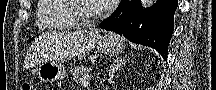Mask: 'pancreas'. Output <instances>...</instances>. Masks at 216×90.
<instances>
[{"label": "pancreas", "mask_w": 216, "mask_h": 90, "mask_svg": "<svg viewBox=\"0 0 216 90\" xmlns=\"http://www.w3.org/2000/svg\"><path fill=\"white\" fill-rule=\"evenodd\" d=\"M74 82H80L82 84L83 80H89V70L85 66H80V68H73L71 70Z\"/></svg>", "instance_id": "cf45deb5"}]
</instances>
